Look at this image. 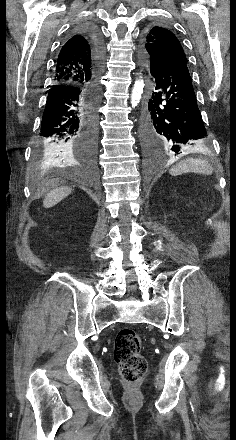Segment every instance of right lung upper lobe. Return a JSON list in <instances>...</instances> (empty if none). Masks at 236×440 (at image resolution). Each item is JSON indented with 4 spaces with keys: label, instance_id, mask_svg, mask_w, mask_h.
Instances as JSON below:
<instances>
[{
    "label": "right lung upper lobe",
    "instance_id": "obj_1",
    "mask_svg": "<svg viewBox=\"0 0 236 440\" xmlns=\"http://www.w3.org/2000/svg\"><path fill=\"white\" fill-rule=\"evenodd\" d=\"M94 77L92 52L87 38L74 34L62 46L56 60L53 86L60 84L87 85Z\"/></svg>",
    "mask_w": 236,
    "mask_h": 440
}]
</instances>
